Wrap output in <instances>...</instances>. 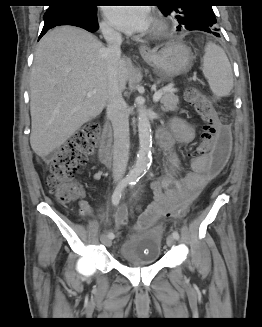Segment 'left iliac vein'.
Segmentation results:
<instances>
[{
    "label": "left iliac vein",
    "instance_id": "4c4485c4",
    "mask_svg": "<svg viewBox=\"0 0 262 327\" xmlns=\"http://www.w3.org/2000/svg\"><path fill=\"white\" fill-rule=\"evenodd\" d=\"M166 242L169 247H172L175 245V238L172 235H168Z\"/></svg>",
    "mask_w": 262,
    "mask_h": 327
}]
</instances>
